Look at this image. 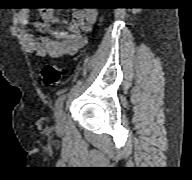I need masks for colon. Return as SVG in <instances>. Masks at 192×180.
<instances>
[{"mask_svg": "<svg viewBox=\"0 0 192 180\" xmlns=\"http://www.w3.org/2000/svg\"><path fill=\"white\" fill-rule=\"evenodd\" d=\"M41 73L44 84L51 86L60 82L62 77V68L57 64L49 63L43 66Z\"/></svg>", "mask_w": 192, "mask_h": 180, "instance_id": "1", "label": "colon"}]
</instances>
